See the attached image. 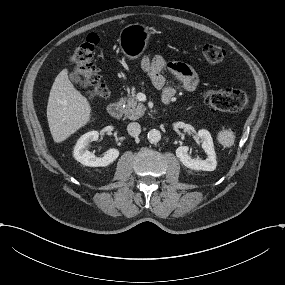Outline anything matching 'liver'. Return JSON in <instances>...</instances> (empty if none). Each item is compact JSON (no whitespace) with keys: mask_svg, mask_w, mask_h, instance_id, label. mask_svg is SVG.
<instances>
[{"mask_svg":"<svg viewBox=\"0 0 285 285\" xmlns=\"http://www.w3.org/2000/svg\"><path fill=\"white\" fill-rule=\"evenodd\" d=\"M47 118L57 144L66 141L93 119L92 105L69 80L68 68L55 78L49 95Z\"/></svg>","mask_w":285,"mask_h":285,"instance_id":"6515ba94","label":"liver"}]
</instances>
